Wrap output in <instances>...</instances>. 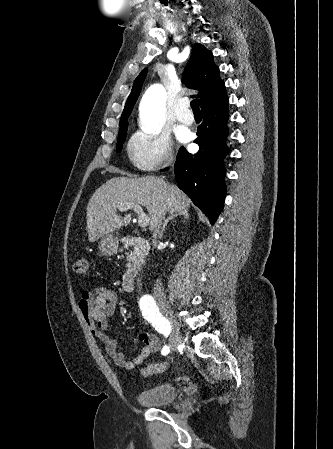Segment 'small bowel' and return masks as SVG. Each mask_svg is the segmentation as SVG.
I'll return each mask as SVG.
<instances>
[{
	"label": "small bowel",
	"instance_id": "1",
	"mask_svg": "<svg viewBox=\"0 0 333 449\" xmlns=\"http://www.w3.org/2000/svg\"><path fill=\"white\" fill-rule=\"evenodd\" d=\"M118 304V294L111 288L100 287L84 291L79 298L78 307L92 333L100 338L107 355L118 367L128 370L136 368L154 351L159 348V338L151 333L138 334L135 342H142L139 354L128 360L124 353L119 351L117 342L106 334L109 324L113 321Z\"/></svg>",
	"mask_w": 333,
	"mask_h": 449
}]
</instances>
